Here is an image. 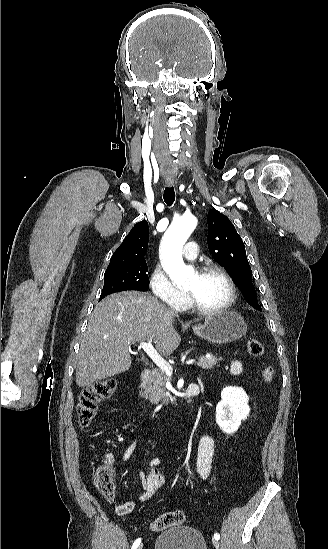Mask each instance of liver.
<instances>
[{
  "label": "liver",
  "instance_id": "1",
  "mask_svg": "<svg viewBox=\"0 0 328 549\" xmlns=\"http://www.w3.org/2000/svg\"><path fill=\"white\" fill-rule=\"evenodd\" d=\"M175 315L148 293L123 291L96 305L80 343L76 385L90 387L131 367L129 345L154 341L163 357L181 343L174 329Z\"/></svg>",
  "mask_w": 328,
  "mask_h": 549
}]
</instances>
